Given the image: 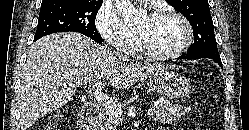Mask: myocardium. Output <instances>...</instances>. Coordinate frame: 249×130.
<instances>
[{
    "label": "myocardium",
    "instance_id": "myocardium-1",
    "mask_svg": "<svg viewBox=\"0 0 249 130\" xmlns=\"http://www.w3.org/2000/svg\"><path fill=\"white\" fill-rule=\"evenodd\" d=\"M157 15L173 17L177 19L178 21H180L184 27V32H185L184 38L181 41V43L172 51L165 52V53H156V52L151 51L147 47L141 34H139L140 50L147 58L156 60V61H164V60H170V59L177 58L189 48V46L191 45L193 41L194 31H193L192 25L190 21L184 15L172 9L162 10Z\"/></svg>",
    "mask_w": 249,
    "mask_h": 130
}]
</instances>
